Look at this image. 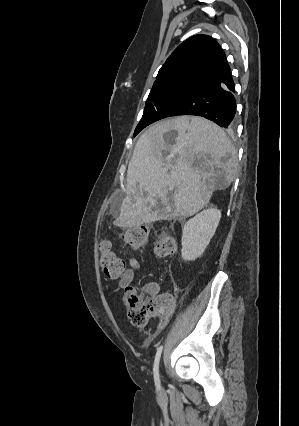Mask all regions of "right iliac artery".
<instances>
[{
	"instance_id": "82829eb1",
	"label": "right iliac artery",
	"mask_w": 299,
	"mask_h": 426,
	"mask_svg": "<svg viewBox=\"0 0 299 426\" xmlns=\"http://www.w3.org/2000/svg\"><path fill=\"white\" fill-rule=\"evenodd\" d=\"M163 346H160L157 349L155 361H154V367H153V373H154V381L157 389H160V379H159V361L161 357Z\"/></svg>"
}]
</instances>
